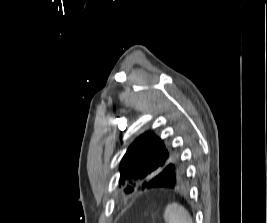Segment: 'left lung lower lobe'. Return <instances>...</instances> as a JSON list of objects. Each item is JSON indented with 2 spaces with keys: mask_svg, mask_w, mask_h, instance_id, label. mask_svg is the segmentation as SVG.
Returning a JSON list of instances; mask_svg holds the SVG:
<instances>
[{
  "mask_svg": "<svg viewBox=\"0 0 267 223\" xmlns=\"http://www.w3.org/2000/svg\"><path fill=\"white\" fill-rule=\"evenodd\" d=\"M185 176H191V171H165L153 173V180L141 182L139 190H145V195H175V190L189 189Z\"/></svg>",
  "mask_w": 267,
  "mask_h": 223,
  "instance_id": "obj_1",
  "label": "left lung lower lobe"
}]
</instances>
